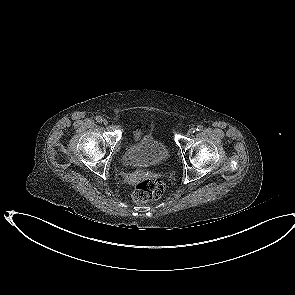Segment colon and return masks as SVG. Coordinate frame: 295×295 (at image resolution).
<instances>
[{
	"instance_id": "colon-1",
	"label": "colon",
	"mask_w": 295,
	"mask_h": 295,
	"mask_svg": "<svg viewBox=\"0 0 295 295\" xmlns=\"http://www.w3.org/2000/svg\"><path fill=\"white\" fill-rule=\"evenodd\" d=\"M165 191V183L161 178L152 177L143 183H139L132 195L136 203H145L159 199Z\"/></svg>"
}]
</instances>
